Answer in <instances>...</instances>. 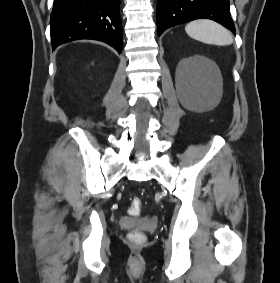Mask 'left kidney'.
Here are the masks:
<instances>
[{
	"label": "left kidney",
	"mask_w": 280,
	"mask_h": 283,
	"mask_svg": "<svg viewBox=\"0 0 280 283\" xmlns=\"http://www.w3.org/2000/svg\"><path fill=\"white\" fill-rule=\"evenodd\" d=\"M195 59H197V60H198V59H202V57H196Z\"/></svg>",
	"instance_id": "5707ae66"
}]
</instances>
